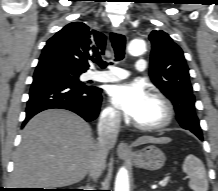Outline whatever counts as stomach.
I'll list each match as a JSON object with an SVG mask.
<instances>
[{"instance_id": "0dacf381", "label": "stomach", "mask_w": 218, "mask_h": 191, "mask_svg": "<svg viewBox=\"0 0 218 191\" xmlns=\"http://www.w3.org/2000/svg\"><path fill=\"white\" fill-rule=\"evenodd\" d=\"M131 161L138 168L156 171L164 166L166 157L159 148L151 145L135 152Z\"/></svg>"}]
</instances>
